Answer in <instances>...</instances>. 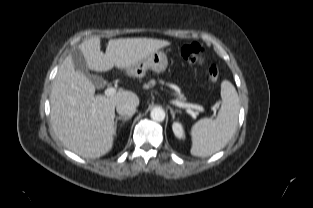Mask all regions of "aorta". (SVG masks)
I'll use <instances>...</instances> for the list:
<instances>
[{"label": "aorta", "instance_id": "762f6f07", "mask_svg": "<svg viewBox=\"0 0 313 208\" xmlns=\"http://www.w3.org/2000/svg\"><path fill=\"white\" fill-rule=\"evenodd\" d=\"M150 117L156 122H162L165 119V111L161 107H155L151 110Z\"/></svg>", "mask_w": 313, "mask_h": 208}]
</instances>
